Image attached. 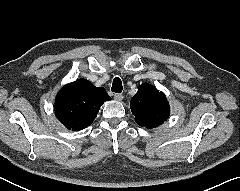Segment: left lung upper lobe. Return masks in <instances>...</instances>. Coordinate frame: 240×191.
I'll use <instances>...</instances> for the list:
<instances>
[{"instance_id":"obj_1","label":"left lung upper lobe","mask_w":240,"mask_h":191,"mask_svg":"<svg viewBox=\"0 0 240 191\" xmlns=\"http://www.w3.org/2000/svg\"><path fill=\"white\" fill-rule=\"evenodd\" d=\"M132 114L138 125L154 128L163 124L170 115V107L163 92L143 83L130 102Z\"/></svg>"}]
</instances>
